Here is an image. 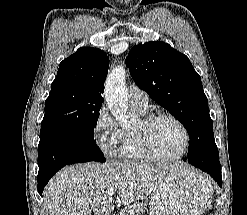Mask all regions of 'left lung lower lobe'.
Segmentation results:
<instances>
[{"label": "left lung lower lobe", "mask_w": 247, "mask_h": 215, "mask_svg": "<svg viewBox=\"0 0 247 215\" xmlns=\"http://www.w3.org/2000/svg\"><path fill=\"white\" fill-rule=\"evenodd\" d=\"M188 162L208 173L219 186H222L221 165L215 141L206 140L193 146L188 157Z\"/></svg>", "instance_id": "left-lung-lower-lobe-1"}]
</instances>
